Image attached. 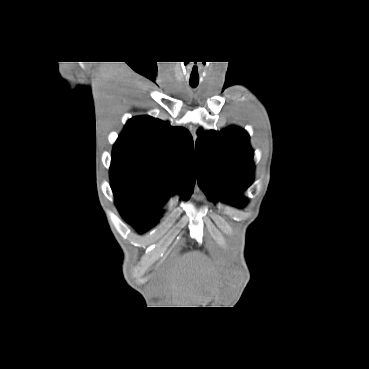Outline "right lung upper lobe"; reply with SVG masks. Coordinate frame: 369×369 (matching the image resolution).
<instances>
[{
  "label": "right lung upper lobe",
  "instance_id": "cb5924a9",
  "mask_svg": "<svg viewBox=\"0 0 369 369\" xmlns=\"http://www.w3.org/2000/svg\"><path fill=\"white\" fill-rule=\"evenodd\" d=\"M110 178L166 200L174 194L189 199L195 184L191 134L148 115L131 118L114 144Z\"/></svg>",
  "mask_w": 369,
  "mask_h": 369
}]
</instances>
